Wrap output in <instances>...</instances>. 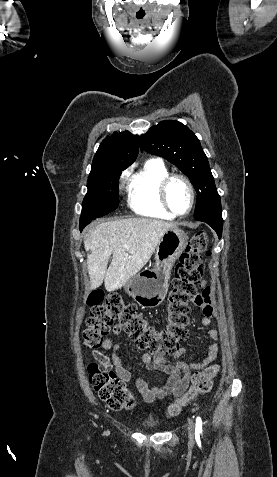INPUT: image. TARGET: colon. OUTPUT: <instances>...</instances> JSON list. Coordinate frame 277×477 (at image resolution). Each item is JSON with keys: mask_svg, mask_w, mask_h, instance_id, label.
I'll return each mask as SVG.
<instances>
[{"mask_svg": "<svg viewBox=\"0 0 277 477\" xmlns=\"http://www.w3.org/2000/svg\"><path fill=\"white\" fill-rule=\"evenodd\" d=\"M208 245L209 238L204 232H198L190 238L175 269L167 305L168 321L164 327L158 328L149 323L134 304L125 303L118 295L105 297L103 292L96 290L87 298L90 314L82 334L83 343L89 348L101 346L111 326L117 322L140 349L153 354L176 353L179 344L188 337L190 303L198 296L202 284V257L203 254L209 255ZM218 371V365H213L196 372L189 390L168 406L169 415H179L190 401L208 392ZM88 376L92 388L111 409L123 410L135 405L132 394L108 364H89Z\"/></svg>", "mask_w": 277, "mask_h": 477, "instance_id": "1", "label": "colon"}]
</instances>
